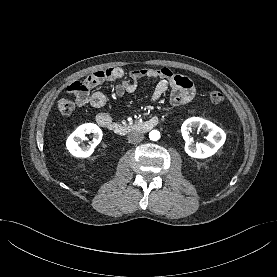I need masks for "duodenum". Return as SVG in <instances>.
Instances as JSON below:
<instances>
[{
  "mask_svg": "<svg viewBox=\"0 0 277 277\" xmlns=\"http://www.w3.org/2000/svg\"><path fill=\"white\" fill-rule=\"evenodd\" d=\"M157 124H158L157 118H150L146 121H143L137 124H132V125L117 123L110 119H105L100 122V126L120 136H125L130 132H133L136 130L147 132L153 129Z\"/></svg>",
  "mask_w": 277,
  "mask_h": 277,
  "instance_id": "duodenum-1",
  "label": "duodenum"
}]
</instances>
